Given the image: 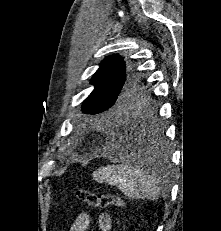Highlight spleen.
<instances>
[{"instance_id":"1","label":"spleen","mask_w":221,"mask_h":231,"mask_svg":"<svg viewBox=\"0 0 221 231\" xmlns=\"http://www.w3.org/2000/svg\"><path fill=\"white\" fill-rule=\"evenodd\" d=\"M93 176L99 182L117 186L130 198L155 200L160 195L155 178L128 161L99 168Z\"/></svg>"}]
</instances>
